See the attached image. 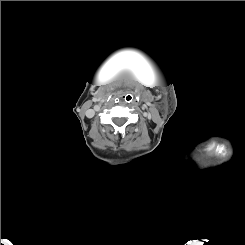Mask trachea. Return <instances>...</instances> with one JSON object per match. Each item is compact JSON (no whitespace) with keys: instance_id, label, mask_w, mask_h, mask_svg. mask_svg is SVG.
<instances>
[{"instance_id":"trachea-1","label":"trachea","mask_w":245,"mask_h":245,"mask_svg":"<svg viewBox=\"0 0 245 245\" xmlns=\"http://www.w3.org/2000/svg\"><path fill=\"white\" fill-rule=\"evenodd\" d=\"M132 96L131 95H127L126 97H125V101L126 102H131L132 101Z\"/></svg>"}]
</instances>
